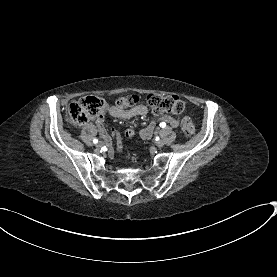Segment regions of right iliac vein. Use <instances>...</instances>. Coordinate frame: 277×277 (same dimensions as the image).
<instances>
[{
    "label": "right iliac vein",
    "mask_w": 277,
    "mask_h": 277,
    "mask_svg": "<svg viewBox=\"0 0 277 277\" xmlns=\"http://www.w3.org/2000/svg\"><path fill=\"white\" fill-rule=\"evenodd\" d=\"M96 147H97L98 149L102 148V147H103V143H102V142H98V143L96 144Z\"/></svg>",
    "instance_id": "1"
}]
</instances>
